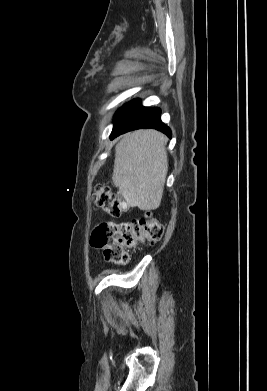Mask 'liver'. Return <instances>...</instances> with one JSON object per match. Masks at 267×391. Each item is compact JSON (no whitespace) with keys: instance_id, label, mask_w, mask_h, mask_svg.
<instances>
[{"instance_id":"obj_1","label":"liver","mask_w":267,"mask_h":391,"mask_svg":"<svg viewBox=\"0 0 267 391\" xmlns=\"http://www.w3.org/2000/svg\"><path fill=\"white\" fill-rule=\"evenodd\" d=\"M167 137L156 130L128 133L116 144L113 184L129 207L160 206L168 171Z\"/></svg>"}]
</instances>
